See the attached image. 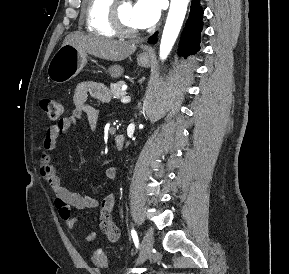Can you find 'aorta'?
Here are the masks:
<instances>
[{
    "instance_id": "1",
    "label": "aorta",
    "mask_w": 289,
    "mask_h": 274,
    "mask_svg": "<svg viewBox=\"0 0 289 274\" xmlns=\"http://www.w3.org/2000/svg\"><path fill=\"white\" fill-rule=\"evenodd\" d=\"M188 3L189 0H171L160 43L159 55L161 60L167 58L178 37L185 18Z\"/></svg>"
}]
</instances>
